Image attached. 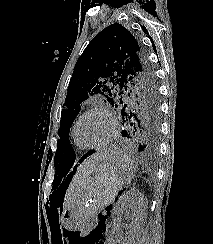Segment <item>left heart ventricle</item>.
Instances as JSON below:
<instances>
[{
	"label": "left heart ventricle",
	"instance_id": "b2bd125f",
	"mask_svg": "<svg viewBox=\"0 0 213 244\" xmlns=\"http://www.w3.org/2000/svg\"><path fill=\"white\" fill-rule=\"evenodd\" d=\"M110 133V123L101 113H92L84 117L78 125L79 139L87 145H96L104 141Z\"/></svg>",
	"mask_w": 213,
	"mask_h": 244
}]
</instances>
